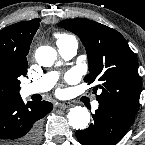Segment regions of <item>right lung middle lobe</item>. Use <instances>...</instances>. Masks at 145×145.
I'll return each mask as SVG.
<instances>
[{
	"instance_id": "obj_1",
	"label": "right lung middle lobe",
	"mask_w": 145,
	"mask_h": 145,
	"mask_svg": "<svg viewBox=\"0 0 145 145\" xmlns=\"http://www.w3.org/2000/svg\"><path fill=\"white\" fill-rule=\"evenodd\" d=\"M19 76L10 66L0 65V99L19 96Z\"/></svg>"
}]
</instances>
